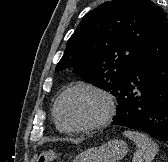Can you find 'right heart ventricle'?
Returning <instances> with one entry per match:
<instances>
[{
	"label": "right heart ventricle",
	"mask_w": 168,
	"mask_h": 162,
	"mask_svg": "<svg viewBox=\"0 0 168 162\" xmlns=\"http://www.w3.org/2000/svg\"><path fill=\"white\" fill-rule=\"evenodd\" d=\"M57 127H58V125H57ZM58 129L61 130V131H64V130L60 129L59 127H58Z\"/></svg>",
	"instance_id": "e07e8e85"
}]
</instances>
